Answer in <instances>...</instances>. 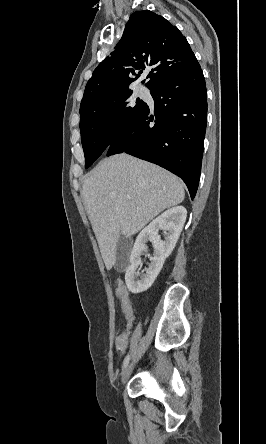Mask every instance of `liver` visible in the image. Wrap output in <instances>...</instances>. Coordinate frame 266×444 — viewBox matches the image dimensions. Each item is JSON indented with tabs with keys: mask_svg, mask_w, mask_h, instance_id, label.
<instances>
[{
	"mask_svg": "<svg viewBox=\"0 0 266 444\" xmlns=\"http://www.w3.org/2000/svg\"><path fill=\"white\" fill-rule=\"evenodd\" d=\"M82 198L105 266L111 270L120 235L136 234L163 210L182 203L185 192L170 172L122 153L105 158L91 171Z\"/></svg>",
	"mask_w": 266,
	"mask_h": 444,
	"instance_id": "obj_1",
	"label": "liver"
}]
</instances>
